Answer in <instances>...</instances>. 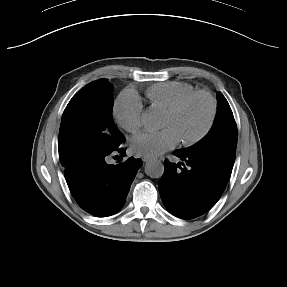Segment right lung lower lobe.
I'll return each mask as SVG.
<instances>
[{
    "mask_svg": "<svg viewBox=\"0 0 287 287\" xmlns=\"http://www.w3.org/2000/svg\"><path fill=\"white\" fill-rule=\"evenodd\" d=\"M126 149L120 145L97 155L88 156L65 169L68 187L78 203L86 212L106 217L120 211L126 201L131 183L141 159L130 157L123 163H107L108 155L124 154Z\"/></svg>",
    "mask_w": 287,
    "mask_h": 287,
    "instance_id": "98d812e1",
    "label": "right lung lower lobe"
}]
</instances>
